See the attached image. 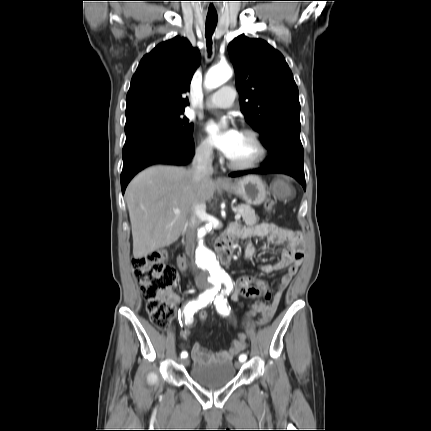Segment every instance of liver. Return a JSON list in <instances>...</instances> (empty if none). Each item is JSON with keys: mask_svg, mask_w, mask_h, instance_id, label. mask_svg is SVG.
I'll return each instance as SVG.
<instances>
[{"mask_svg": "<svg viewBox=\"0 0 431 431\" xmlns=\"http://www.w3.org/2000/svg\"><path fill=\"white\" fill-rule=\"evenodd\" d=\"M215 189L211 178L195 182L191 171L182 167L157 165L139 173L125 192L134 258L177 241L194 205L210 201ZM175 209L180 213L175 214Z\"/></svg>", "mask_w": 431, "mask_h": 431, "instance_id": "obj_1", "label": "liver"}]
</instances>
